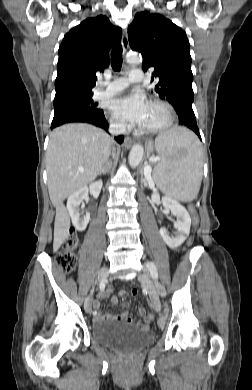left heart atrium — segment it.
<instances>
[{"label":"left heart atrium","mask_w":252,"mask_h":390,"mask_svg":"<svg viewBox=\"0 0 252 390\" xmlns=\"http://www.w3.org/2000/svg\"><path fill=\"white\" fill-rule=\"evenodd\" d=\"M148 106L145 97L139 93L118 97L111 103V109L116 116L136 125L144 123Z\"/></svg>","instance_id":"obj_1"}]
</instances>
